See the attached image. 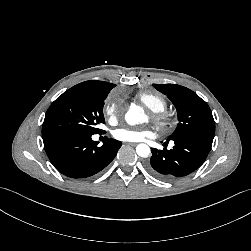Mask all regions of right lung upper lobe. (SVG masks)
Returning <instances> with one entry per match:
<instances>
[{
    "label": "right lung upper lobe",
    "instance_id": "1",
    "mask_svg": "<svg viewBox=\"0 0 251 251\" xmlns=\"http://www.w3.org/2000/svg\"><path fill=\"white\" fill-rule=\"evenodd\" d=\"M116 85L104 82V81H98V80H89L82 83H79L75 85V88H81V89H88L92 90L98 93H109L111 89H113Z\"/></svg>",
    "mask_w": 251,
    "mask_h": 251
}]
</instances>
